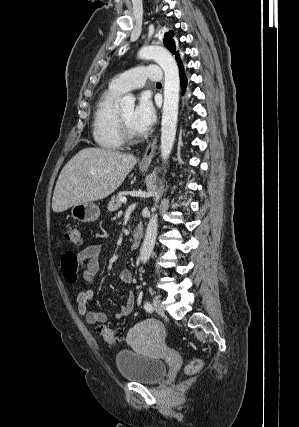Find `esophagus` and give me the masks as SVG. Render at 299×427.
I'll return each instance as SVG.
<instances>
[{
	"instance_id": "esophagus-1",
	"label": "esophagus",
	"mask_w": 299,
	"mask_h": 427,
	"mask_svg": "<svg viewBox=\"0 0 299 427\" xmlns=\"http://www.w3.org/2000/svg\"><path fill=\"white\" fill-rule=\"evenodd\" d=\"M156 144H157V137H155L146 147V150L141 160L142 166H148L151 163L152 158L156 151Z\"/></svg>"
}]
</instances>
